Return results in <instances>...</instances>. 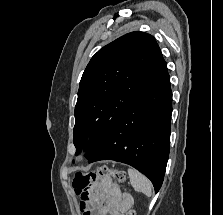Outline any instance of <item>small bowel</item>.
Masks as SVG:
<instances>
[{
    "instance_id": "1",
    "label": "small bowel",
    "mask_w": 223,
    "mask_h": 215,
    "mask_svg": "<svg viewBox=\"0 0 223 215\" xmlns=\"http://www.w3.org/2000/svg\"><path fill=\"white\" fill-rule=\"evenodd\" d=\"M133 205L129 194L121 193L110 177L95 182L82 197L83 215H127Z\"/></svg>"
}]
</instances>
